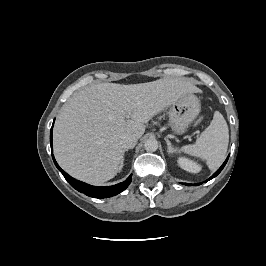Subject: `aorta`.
<instances>
[{
	"label": "aorta",
	"instance_id": "1",
	"mask_svg": "<svg viewBox=\"0 0 266 266\" xmlns=\"http://www.w3.org/2000/svg\"><path fill=\"white\" fill-rule=\"evenodd\" d=\"M144 148L148 152H154L158 149V141L156 139H147Z\"/></svg>",
	"mask_w": 266,
	"mask_h": 266
}]
</instances>
